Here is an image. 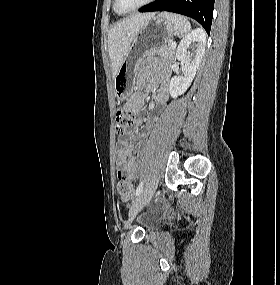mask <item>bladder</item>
Listing matches in <instances>:
<instances>
[{"mask_svg":"<svg viewBox=\"0 0 280 285\" xmlns=\"http://www.w3.org/2000/svg\"><path fill=\"white\" fill-rule=\"evenodd\" d=\"M140 223L144 226V227H151L154 226L157 222H158V217L155 215H145L142 218H140Z\"/></svg>","mask_w":280,"mask_h":285,"instance_id":"1","label":"bladder"}]
</instances>
